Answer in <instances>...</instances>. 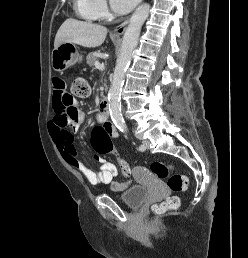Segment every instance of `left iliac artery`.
Instances as JSON below:
<instances>
[{
    "instance_id": "left-iliac-artery-1",
    "label": "left iliac artery",
    "mask_w": 248,
    "mask_h": 258,
    "mask_svg": "<svg viewBox=\"0 0 248 258\" xmlns=\"http://www.w3.org/2000/svg\"><path fill=\"white\" fill-rule=\"evenodd\" d=\"M139 150H140V151H144V150H145L144 146H143V145H140V146H139Z\"/></svg>"
}]
</instances>
